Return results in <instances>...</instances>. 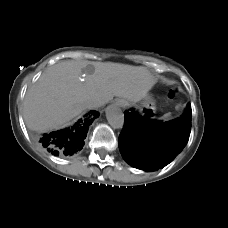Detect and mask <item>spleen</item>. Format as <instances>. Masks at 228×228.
I'll return each mask as SVG.
<instances>
[{
    "label": "spleen",
    "instance_id": "spleen-1",
    "mask_svg": "<svg viewBox=\"0 0 228 228\" xmlns=\"http://www.w3.org/2000/svg\"><path fill=\"white\" fill-rule=\"evenodd\" d=\"M168 117H170V113H166V114L163 115V118H164V119H166V118H168Z\"/></svg>",
    "mask_w": 228,
    "mask_h": 228
}]
</instances>
